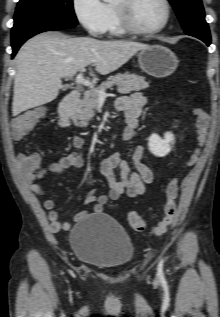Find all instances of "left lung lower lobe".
Listing matches in <instances>:
<instances>
[{
    "label": "left lung lower lobe",
    "mask_w": 220,
    "mask_h": 317,
    "mask_svg": "<svg viewBox=\"0 0 220 317\" xmlns=\"http://www.w3.org/2000/svg\"><path fill=\"white\" fill-rule=\"evenodd\" d=\"M185 33L202 40L208 46L210 45V42H211L210 32H200V31L192 30V31H187Z\"/></svg>",
    "instance_id": "0a47b994"
}]
</instances>
